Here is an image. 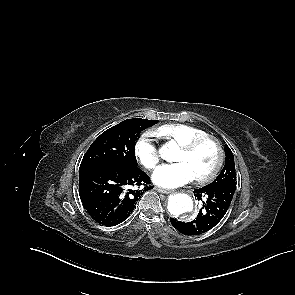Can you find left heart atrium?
<instances>
[{
  "mask_svg": "<svg viewBox=\"0 0 295 295\" xmlns=\"http://www.w3.org/2000/svg\"><path fill=\"white\" fill-rule=\"evenodd\" d=\"M195 178L191 168L184 162L162 165L152 176L154 183L166 188L185 185Z\"/></svg>",
  "mask_w": 295,
  "mask_h": 295,
  "instance_id": "obj_1",
  "label": "left heart atrium"
}]
</instances>
